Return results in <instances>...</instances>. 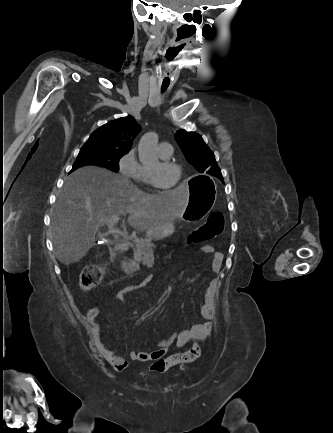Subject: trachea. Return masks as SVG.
<instances>
[{"mask_svg": "<svg viewBox=\"0 0 333 433\" xmlns=\"http://www.w3.org/2000/svg\"><path fill=\"white\" fill-rule=\"evenodd\" d=\"M167 89V87L162 86L161 91L164 92Z\"/></svg>", "mask_w": 333, "mask_h": 433, "instance_id": "1", "label": "trachea"}]
</instances>
